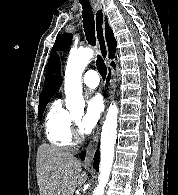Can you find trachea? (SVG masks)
Wrapping results in <instances>:
<instances>
[{
    "instance_id": "3493384b",
    "label": "trachea",
    "mask_w": 178,
    "mask_h": 195,
    "mask_svg": "<svg viewBox=\"0 0 178 195\" xmlns=\"http://www.w3.org/2000/svg\"><path fill=\"white\" fill-rule=\"evenodd\" d=\"M79 3L82 6V18H83L82 22H83V28H84L86 39L90 45L95 46L96 45L95 21H94V14L90 2L89 0H79ZM96 66L102 79L105 80L107 75V68L100 55L97 56Z\"/></svg>"
}]
</instances>
